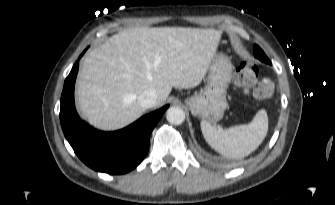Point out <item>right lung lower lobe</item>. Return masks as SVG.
Segmentation results:
<instances>
[{
	"label": "right lung lower lobe",
	"mask_w": 335,
	"mask_h": 205,
	"mask_svg": "<svg viewBox=\"0 0 335 205\" xmlns=\"http://www.w3.org/2000/svg\"><path fill=\"white\" fill-rule=\"evenodd\" d=\"M79 59L66 78L61 95L60 122L64 135L76 155L90 168L108 174L127 173L146 156L150 135L169 105L119 131L102 132L92 128L81 121L74 105Z\"/></svg>",
	"instance_id": "1"
}]
</instances>
